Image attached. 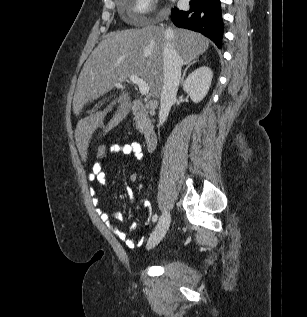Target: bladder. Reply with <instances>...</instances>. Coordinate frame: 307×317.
<instances>
[{
  "mask_svg": "<svg viewBox=\"0 0 307 317\" xmlns=\"http://www.w3.org/2000/svg\"><path fill=\"white\" fill-rule=\"evenodd\" d=\"M166 258V256H161L158 258L159 261H163Z\"/></svg>",
  "mask_w": 307,
  "mask_h": 317,
  "instance_id": "1",
  "label": "bladder"
}]
</instances>
